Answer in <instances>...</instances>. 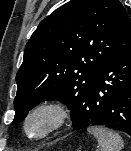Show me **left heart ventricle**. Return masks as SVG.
<instances>
[{"label":"left heart ventricle","instance_id":"b2bd125f","mask_svg":"<svg viewBox=\"0 0 131 151\" xmlns=\"http://www.w3.org/2000/svg\"><path fill=\"white\" fill-rule=\"evenodd\" d=\"M50 123V117L46 114H40L32 118L29 122V132L33 135L43 132Z\"/></svg>","mask_w":131,"mask_h":151}]
</instances>
